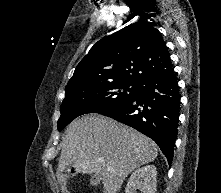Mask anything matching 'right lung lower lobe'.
I'll list each match as a JSON object with an SVG mask.
<instances>
[{"label":"right lung lower lobe","mask_w":221,"mask_h":193,"mask_svg":"<svg viewBox=\"0 0 221 193\" xmlns=\"http://www.w3.org/2000/svg\"><path fill=\"white\" fill-rule=\"evenodd\" d=\"M180 97L178 81L172 70L147 78L136 96L114 109L99 113L153 139L170 165L177 137Z\"/></svg>","instance_id":"right-lung-lower-lobe-1"}]
</instances>
